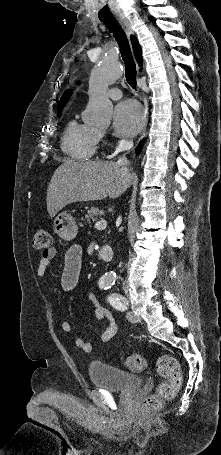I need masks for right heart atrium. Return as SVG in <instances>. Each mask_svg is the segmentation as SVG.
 I'll use <instances>...</instances> for the list:
<instances>
[{"instance_id":"right-heart-atrium-1","label":"right heart atrium","mask_w":221,"mask_h":455,"mask_svg":"<svg viewBox=\"0 0 221 455\" xmlns=\"http://www.w3.org/2000/svg\"><path fill=\"white\" fill-rule=\"evenodd\" d=\"M105 136H106V133H105V132L98 130V139H99V141H101L102 139H104Z\"/></svg>"}]
</instances>
